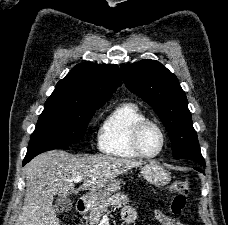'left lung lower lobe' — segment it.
I'll use <instances>...</instances> for the list:
<instances>
[{"label": "left lung lower lobe", "mask_w": 228, "mask_h": 225, "mask_svg": "<svg viewBox=\"0 0 228 225\" xmlns=\"http://www.w3.org/2000/svg\"><path fill=\"white\" fill-rule=\"evenodd\" d=\"M194 168L201 173L203 172L201 166H195Z\"/></svg>", "instance_id": "left-lung-lower-lobe-1"}]
</instances>
